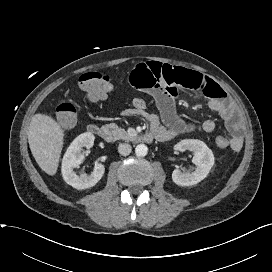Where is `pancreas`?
Returning <instances> with one entry per match:
<instances>
[{
	"label": "pancreas",
	"mask_w": 272,
	"mask_h": 272,
	"mask_svg": "<svg viewBox=\"0 0 272 272\" xmlns=\"http://www.w3.org/2000/svg\"><path fill=\"white\" fill-rule=\"evenodd\" d=\"M104 130L113 141L131 140L130 135L125 131V129L118 127V125L114 123L105 125Z\"/></svg>",
	"instance_id": "cf45deb5"
}]
</instances>
